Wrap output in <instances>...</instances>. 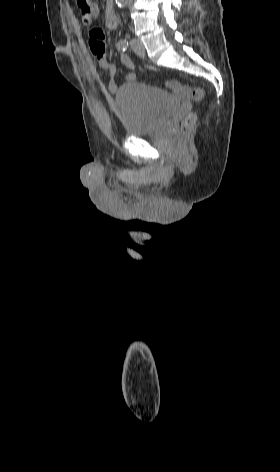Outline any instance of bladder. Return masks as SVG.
Segmentation results:
<instances>
[{
  "label": "bladder",
  "instance_id": "1",
  "mask_svg": "<svg viewBox=\"0 0 280 472\" xmlns=\"http://www.w3.org/2000/svg\"><path fill=\"white\" fill-rule=\"evenodd\" d=\"M115 107L126 135L140 137L159 129L179 108V101L165 90L128 82L115 94Z\"/></svg>",
  "mask_w": 280,
  "mask_h": 472
}]
</instances>
